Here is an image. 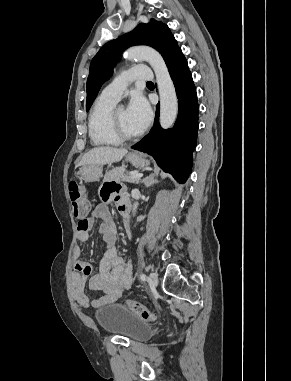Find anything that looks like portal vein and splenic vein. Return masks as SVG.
<instances>
[{
    "label": "portal vein and splenic vein",
    "instance_id": "18ae733b",
    "mask_svg": "<svg viewBox=\"0 0 291 381\" xmlns=\"http://www.w3.org/2000/svg\"><path fill=\"white\" fill-rule=\"evenodd\" d=\"M141 177H143L142 173H133L130 176H127V178H130V179H140Z\"/></svg>",
    "mask_w": 291,
    "mask_h": 381
}]
</instances>
